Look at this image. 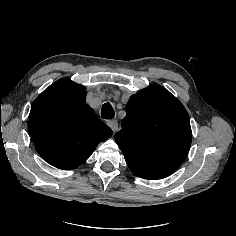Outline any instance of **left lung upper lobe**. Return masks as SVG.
<instances>
[{"mask_svg":"<svg viewBox=\"0 0 236 236\" xmlns=\"http://www.w3.org/2000/svg\"><path fill=\"white\" fill-rule=\"evenodd\" d=\"M191 139L186 109L158 85L131 96L122 130L115 135L131 171L149 180L174 173L186 158Z\"/></svg>","mask_w":236,"mask_h":236,"instance_id":"left-lung-upper-lobe-1","label":"left lung upper lobe"}]
</instances>
